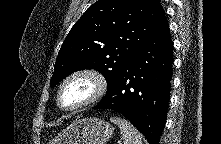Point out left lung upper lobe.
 <instances>
[{
    "instance_id": "5c2ea615",
    "label": "left lung upper lobe",
    "mask_w": 221,
    "mask_h": 144,
    "mask_svg": "<svg viewBox=\"0 0 221 144\" xmlns=\"http://www.w3.org/2000/svg\"><path fill=\"white\" fill-rule=\"evenodd\" d=\"M164 18L159 0H98L67 35L50 86L75 71L95 69L106 78L108 92L121 69L154 35Z\"/></svg>"
}]
</instances>
